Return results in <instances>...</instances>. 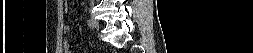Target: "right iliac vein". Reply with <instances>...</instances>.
Masks as SVG:
<instances>
[{
	"label": "right iliac vein",
	"instance_id": "obj_1",
	"mask_svg": "<svg viewBox=\"0 0 253 53\" xmlns=\"http://www.w3.org/2000/svg\"><path fill=\"white\" fill-rule=\"evenodd\" d=\"M92 21H93V23H94V27H95L96 29H99V23H98L97 19H96L94 16H92Z\"/></svg>",
	"mask_w": 253,
	"mask_h": 53
}]
</instances>
